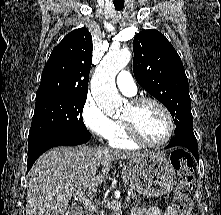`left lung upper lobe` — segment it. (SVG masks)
I'll list each match as a JSON object with an SVG mask.
<instances>
[{
  "label": "left lung upper lobe",
  "mask_w": 221,
  "mask_h": 215,
  "mask_svg": "<svg viewBox=\"0 0 221 215\" xmlns=\"http://www.w3.org/2000/svg\"><path fill=\"white\" fill-rule=\"evenodd\" d=\"M133 51L137 82L170 111L177 136L194 135L188 79L172 44L157 30H143Z\"/></svg>",
  "instance_id": "left-lung-upper-lobe-1"
}]
</instances>
